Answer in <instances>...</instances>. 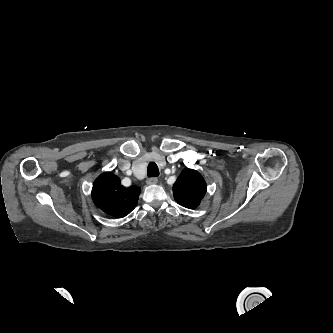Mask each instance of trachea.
<instances>
[{
  "label": "trachea",
  "instance_id": "1",
  "mask_svg": "<svg viewBox=\"0 0 333 333\" xmlns=\"http://www.w3.org/2000/svg\"><path fill=\"white\" fill-rule=\"evenodd\" d=\"M148 177H157L159 176V169L156 163L150 162L147 168Z\"/></svg>",
  "mask_w": 333,
  "mask_h": 333
}]
</instances>
